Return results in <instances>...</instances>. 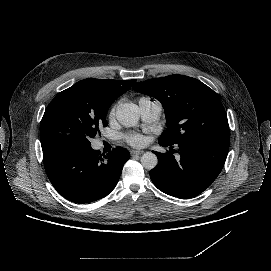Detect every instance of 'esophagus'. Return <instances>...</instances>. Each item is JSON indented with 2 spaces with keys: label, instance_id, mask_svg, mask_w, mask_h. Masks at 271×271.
<instances>
[{
  "label": "esophagus",
  "instance_id": "esophagus-1",
  "mask_svg": "<svg viewBox=\"0 0 271 271\" xmlns=\"http://www.w3.org/2000/svg\"><path fill=\"white\" fill-rule=\"evenodd\" d=\"M131 155H141L144 153L142 150H131L130 151Z\"/></svg>",
  "mask_w": 271,
  "mask_h": 271
}]
</instances>
